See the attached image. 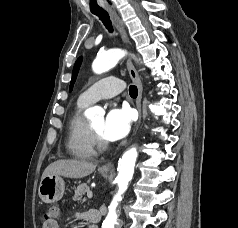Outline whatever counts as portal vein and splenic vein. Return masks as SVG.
<instances>
[{"instance_id": "1", "label": "portal vein and splenic vein", "mask_w": 238, "mask_h": 228, "mask_svg": "<svg viewBox=\"0 0 238 228\" xmlns=\"http://www.w3.org/2000/svg\"><path fill=\"white\" fill-rule=\"evenodd\" d=\"M87 196H88L89 199H91L92 196H93V195H92V192L89 191L88 194H87Z\"/></svg>"}]
</instances>
